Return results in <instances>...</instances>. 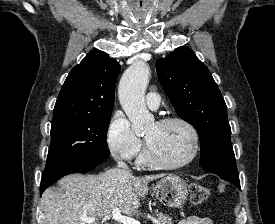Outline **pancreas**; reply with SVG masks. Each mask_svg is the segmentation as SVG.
<instances>
[{
    "label": "pancreas",
    "instance_id": "obj_1",
    "mask_svg": "<svg viewBox=\"0 0 275 224\" xmlns=\"http://www.w3.org/2000/svg\"><path fill=\"white\" fill-rule=\"evenodd\" d=\"M157 216V224H173L172 218L168 215H164L163 213H156Z\"/></svg>",
    "mask_w": 275,
    "mask_h": 224
}]
</instances>
